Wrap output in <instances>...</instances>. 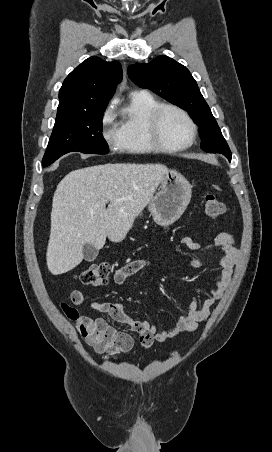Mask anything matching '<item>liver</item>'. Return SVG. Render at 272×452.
<instances>
[{
  "instance_id": "liver-1",
  "label": "liver",
  "mask_w": 272,
  "mask_h": 452,
  "mask_svg": "<svg viewBox=\"0 0 272 452\" xmlns=\"http://www.w3.org/2000/svg\"><path fill=\"white\" fill-rule=\"evenodd\" d=\"M167 170L161 164L108 163L68 173L53 196L48 270L60 275L75 268L86 243L99 250L106 237L125 239Z\"/></svg>"
}]
</instances>
